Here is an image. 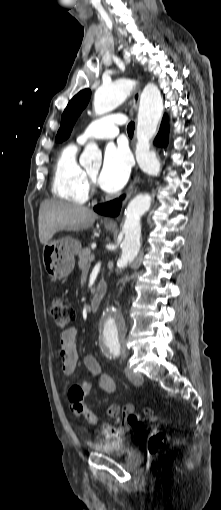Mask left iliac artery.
<instances>
[{
	"mask_svg": "<svg viewBox=\"0 0 221 510\" xmlns=\"http://www.w3.org/2000/svg\"><path fill=\"white\" fill-rule=\"evenodd\" d=\"M112 353L115 355V356H118L120 354V348L119 347H116Z\"/></svg>",
	"mask_w": 221,
	"mask_h": 510,
	"instance_id": "44dca946",
	"label": "left iliac artery"
}]
</instances>
